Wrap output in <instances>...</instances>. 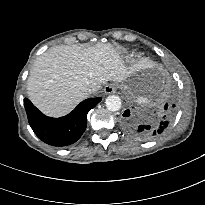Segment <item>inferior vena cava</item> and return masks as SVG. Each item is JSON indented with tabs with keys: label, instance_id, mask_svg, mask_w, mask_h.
<instances>
[{
	"label": "inferior vena cava",
	"instance_id": "602c4592",
	"mask_svg": "<svg viewBox=\"0 0 205 205\" xmlns=\"http://www.w3.org/2000/svg\"><path fill=\"white\" fill-rule=\"evenodd\" d=\"M89 93H92V90H91V89H89Z\"/></svg>",
	"mask_w": 205,
	"mask_h": 205
}]
</instances>
